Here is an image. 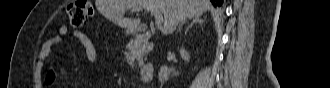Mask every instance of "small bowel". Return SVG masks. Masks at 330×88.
I'll list each match as a JSON object with an SVG mask.
<instances>
[{"label":"small bowel","mask_w":330,"mask_h":88,"mask_svg":"<svg viewBox=\"0 0 330 88\" xmlns=\"http://www.w3.org/2000/svg\"><path fill=\"white\" fill-rule=\"evenodd\" d=\"M64 36H71L77 40L84 48L87 59L93 63L98 64L99 56L91 41V39L83 32L73 30L67 25H63L59 29V35L54 37L51 41L47 42L40 51V61L38 63L39 68L42 67V60L49 54L51 46L53 44L61 43ZM56 79V74L53 69H50L44 77V81L47 84H52Z\"/></svg>","instance_id":"obj_1"}]
</instances>
